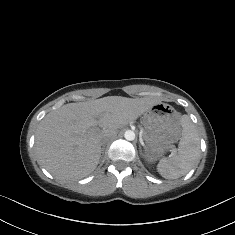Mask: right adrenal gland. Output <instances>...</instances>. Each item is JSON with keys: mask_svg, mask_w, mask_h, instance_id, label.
Returning <instances> with one entry per match:
<instances>
[{"mask_svg": "<svg viewBox=\"0 0 235 235\" xmlns=\"http://www.w3.org/2000/svg\"><path fill=\"white\" fill-rule=\"evenodd\" d=\"M104 153V148H101V154Z\"/></svg>", "mask_w": 235, "mask_h": 235, "instance_id": "1", "label": "right adrenal gland"}]
</instances>
